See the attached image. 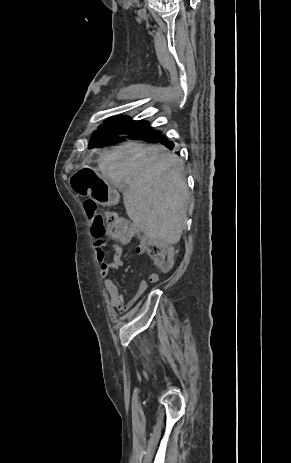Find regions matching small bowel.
<instances>
[{
    "label": "small bowel",
    "mask_w": 291,
    "mask_h": 463,
    "mask_svg": "<svg viewBox=\"0 0 291 463\" xmlns=\"http://www.w3.org/2000/svg\"><path fill=\"white\" fill-rule=\"evenodd\" d=\"M128 241L129 240H118L117 243L111 245V250L113 252L111 260H108L106 257V253L103 249L104 245L99 246L95 243L96 258L100 263V275L103 278L104 289L110 297L111 306L117 309L120 313H126L129 311V309L147 289L149 283L158 279V275L156 273L152 274L149 279H142L134 296L129 300V302H125L124 296L120 292L117 284L110 278V271L119 270L124 266V262L122 260V245L126 244ZM136 252L138 254H143V251H141L138 244L136 246Z\"/></svg>",
    "instance_id": "obj_1"
}]
</instances>
